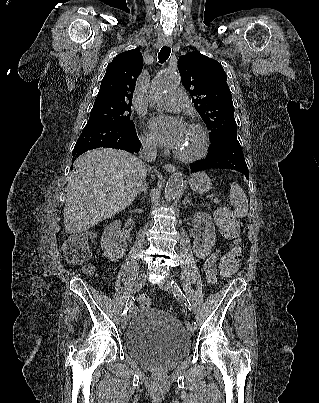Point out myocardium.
I'll return each instance as SVG.
<instances>
[{
	"mask_svg": "<svg viewBox=\"0 0 319 403\" xmlns=\"http://www.w3.org/2000/svg\"><path fill=\"white\" fill-rule=\"evenodd\" d=\"M187 127L196 131L200 137V147L197 152L191 155H185L178 151L175 152L176 158L184 162H196L204 158L209 150L210 139L207 130L199 123L189 122L187 123Z\"/></svg>",
	"mask_w": 319,
	"mask_h": 403,
	"instance_id": "obj_1",
	"label": "myocardium"
}]
</instances>
